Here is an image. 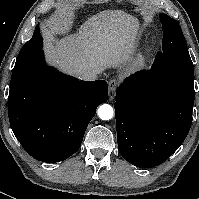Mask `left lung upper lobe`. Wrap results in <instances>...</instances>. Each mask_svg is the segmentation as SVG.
Instances as JSON below:
<instances>
[{
  "label": "left lung upper lobe",
  "mask_w": 199,
  "mask_h": 199,
  "mask_svg": "<svg viewBox=\"0 0 199 199\" xmlns=\"http://www.w3.org/2000/svg\"><path fill=\"white\" fill-rule=\"evenodd\" d=\"M163 28L162 52H158L154 67H177L194 72L185 38L179 23L166 14H160Z\"/></svg>",
  "instance_id": "1"
}]
</instances>
